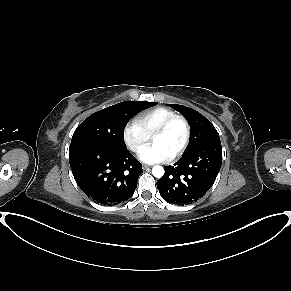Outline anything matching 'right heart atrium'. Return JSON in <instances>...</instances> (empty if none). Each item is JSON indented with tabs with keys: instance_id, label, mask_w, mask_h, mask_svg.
<instances>
[{
	"instance_id": "1",
	"label": "right heart atrium",
	"mask_w": 291,
	"mask_h": 291,
	"mask_svg": "<svg viewBox=\"0 0 291 291\" xmlns=\"http://www.w3.org/2000/svg\"><path fill=\"white\" fill-rule=\"evenodd\" d=\"M122 138L128 149L136 152L149 140L150 135L136 120H132L125 125Z\"/></svg>"
}]
</instances>
